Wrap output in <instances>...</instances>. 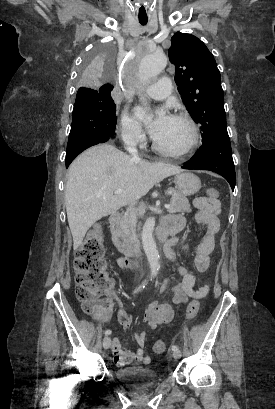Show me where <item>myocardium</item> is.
I'll list each match as a JSON object with an SVG mask.
<instances>
[{"label": "myocardium", "instance_id": "myocardium-1", "mask_svg": "<svg viewBox=\"0 0 275 409\" xmlns=\"http://www.w3.org/2000/svg\"><path fill=\"white\" fill-rule=\"evenodd\" d=\"M169 118H172L174 120L182 121L184 122L190 131V137L187 143L179 148V149H168L165 147L160 146L153 138L151 137V143H152V148L154 151H156L159 154L166 155V156H182L187 153H189L198 143L199 140V132L196 123L194 120L189 117L188 115L181 114V113H174L169 116Z\"/></svg>", "mask_w": 275, "mask_h": 409}]
</instances>
